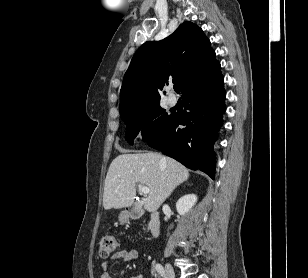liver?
<instances>
[{"label":"liver","mask_w":308,"mask_h":278,"mask_svg":"<svg viewBox=\"0 0 308 278\" xmlns=\"http://www.w3.org/2000/svg\"><path fill=\"white\" fill-rule=\"evenodd\" d=\"M189 171L173 158L159 153L121 154L109 166L103 193L104 209H120L134 203L136 184L149 188L146 198L135 203L149 212L156 211L173 190L186 181Z\"/></svg>","instance_id":"obj_1"}]
</instances>
